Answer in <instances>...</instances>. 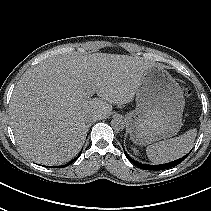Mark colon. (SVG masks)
Segmentation results:
<instances>
[{
    "mask_svg": "<svg viewBox=\"0 0 211 211\" xmlns=\"http://www.w3.org/2000/svg\"><path fill=\"white\" fill-rule=\"evenodd\" d=\"M185 94L187 95V96H189L190 95V90L189 89H185Z\"/></svg>",
    "mask_w": 211,
    "mask_h": 211,
    "instance_id": "obj_1",
    "label": "colon"
}]
</instances>
